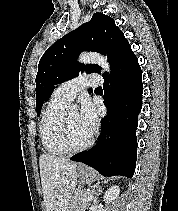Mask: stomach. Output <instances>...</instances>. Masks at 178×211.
I'll list each match as a JSON object with an SVG mask.
<instances>
[{"instance_id": "0dacf381", "label": "stomach", "mask_w": 178, "mask_h": 211, "mask_svg": "<svg viewBox=\"0 0 178 211\" xmlns=\"http://www.w3.org/2000/svg\"><path fill=\"white\" fill-rule=\"evenodd\" d=\"M81 182L92 183L96 179V173L88 167H82L79 171Z\"/></svg>"}]
</instances>
